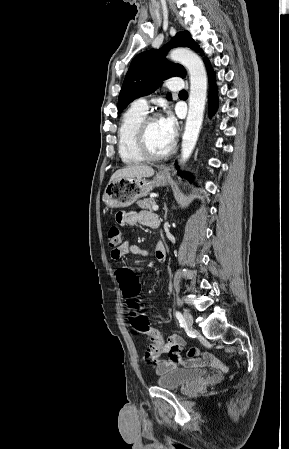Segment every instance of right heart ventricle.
<instances>
[{
  "instance_id": "1",
  "label": "right heart ventricle",
  "mask_w": 289,
  "mask_h": 449,
  "mask_svg": "<svg viewBox=\"0 0 289 449\" xmlns=\"http://www.w3.org/2000/svg\"><path fill=\"white\" fill-rule=\"evenodd\" d=\"M146 115L147 111L132 105L122 117L118 130V152L125 164H138L145 160L138 151L136 136L139 125Z\"/></svg>"
}]
</instances>
